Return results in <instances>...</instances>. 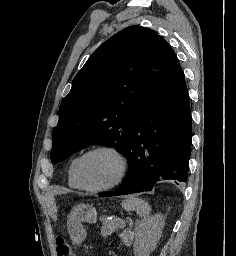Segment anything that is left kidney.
Masks as SVG:
<instances>
[{"label":"left kidney","mask_w":236,"mask_h":256,"mask_svg":"<svg viewBox=\"0 0 236 256\" xmlns=\"http://www.w3.org/2000/svg\"><path fill=\"white\" fill-rule=\"evenodd\" d=\"M164 226L162 214L148 216L145 222L140 224L136 234L133 246L135 256H149L150 252L155 250L161 236Z\"/></svg>","instance_id":"left-kidney-1"}]
</instances>
